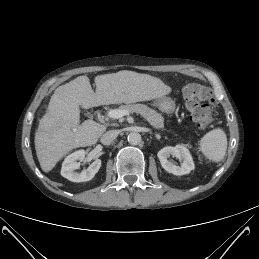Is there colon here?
<instances>
[{
  "instance_id": "1",
  "label": "colon",
  "mask_w": 259,
  "mask_h": 259,
  "mask_svg": "<svg viewBox=\"0 0 259 259\" xmlns=\"http://www.w3.org/2000/svg\"><path fill=\"white\" fill-rule=\"evenodd\" d=\"M182 95L191 120L199 129H206L213 120L210 91L203 85L191 83L183 88Z\"/></svg>"
}]
</instances>
